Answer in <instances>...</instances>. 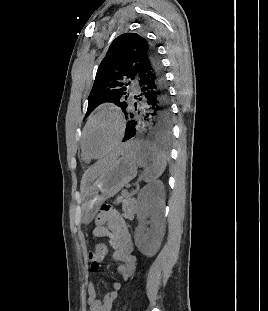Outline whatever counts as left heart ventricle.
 Returning <instances> with one entry per match:
<instances>
[{"instance_id":"obj_1","label":"left heart ventricle","mask_w":268,"mask_h":311,"mask_svg":"<svg viewBox=\"0 0 268 311\" xmlns=\"http://www.w3.org/2000/svg\"><path fill=\"white\" fill-rule=\"evenodd\" d=\"M118 132L116 119L104 114L97 118L90 126L86 135L87 150L93 155L106 151L114 141Z\"/></svg>"}]
</instances>
